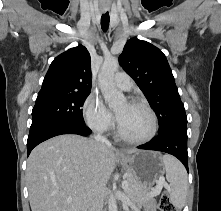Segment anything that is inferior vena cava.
<instances>
[{
    "instance_id": "602c4592",
    "label": "inferior vena cava",
    "mask_w": 221,
    "mask_h": 211,
    "mask_svg": "<svg viewBox=\"0 0 221 211\" xmlns=\"http://www.w3.org/2000/svg\"><path fill=\"white\" fill-rule=\"evenodd\" d=\"M94 140L100 144H104L106 146H111L110 142L106 137L102 135L101 131H98L96 135H94ZM103 193L98 192L93 199L89 211H104L103 210Z\"/></svg>"
}]
</instances>
